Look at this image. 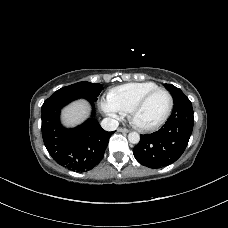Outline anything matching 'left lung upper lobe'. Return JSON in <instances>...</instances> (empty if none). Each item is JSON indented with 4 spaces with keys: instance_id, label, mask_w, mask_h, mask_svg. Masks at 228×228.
I'll use <instances>...</instances> for the list:
<instances>
[{
    "instance_id": "1",
    "label": "left lung upper lobe",
    "mask_w": 228,
    "mask_h": 228,
    "mask_svg": "<svg viewBox=\"0 0 228 228\" xmlns=\"http://www.w3.org/2000/svg\"><path fill=\"white\" fill-rule=\"evenodd\" d=\"M165 86L167 87V89L172 94L174 102L186 97V95L179 88L175 87L174 85L165 84Z\"/></svg>"
}]
</instances>
